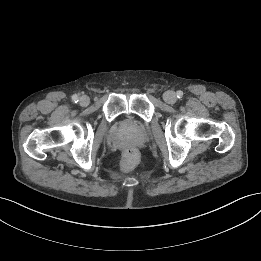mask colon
<instances>
[{
  "label": "colon",
  "mask_w": 261,
  "mask_h": 261,
  "mask_svg": "<svg viewBox=\"0 0 261 261\" xmlns=\"http://www.w3.org/2000/svg\"><path fill=\"white\" fill-rule=\"evenodd\" d=\"M138 158V151L134 148H128L124 152L122 168L124 170L130 169Z\"/></svg>",
  "instance_id": "colon-1"
}]
</instances>
